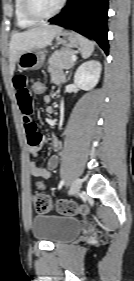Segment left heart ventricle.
Listing matches in <instances>:
<instances>
[{"label": "left heart ventricle", "mask_w": 134, "mask_h": 281, "mask_svg": "<svg viewBox=\"0 0 134 281\" xmlns=\"http://www.w3.org/2000/svg\"><path fill=\"white\" fill-rule=\"evenodd\" d=\"M35 8L43 14L52 12L61 0H33Z\"/></svg>", "instance_id": "1"}]
</instances>
